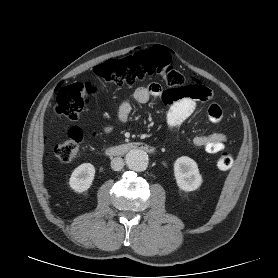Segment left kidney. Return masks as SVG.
<instances>
[{
	"label": "left kidney",
	"mask_w": 278,
	"mask_h": 278,
	"mask_svg": "<svg viewBox=\"0 0 278 278\" xmlns=\"http://www.w3.org/2000/svg\"><path fill=\"white\" fill-rule=\"evenodd\" d=\"M174 175L178 187L186 192L195 191L202 184L197 163L187 156L179 157L175 161Z\"/></svg>",
	"instance_id": "obj_1"
}]
</instances>
